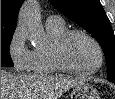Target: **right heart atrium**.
Instances as JSON below:
<instances>
[{
	"mask_svg": "<svg viewBox=\"0 0 115 99\" xmlns=\"http://www.w3.org/2000/svg\"><path fill=\"white\" fill-rule=\"evenodd\" d=\"M8 54L16 70H29L32 51L27 47L23 28L17 27L13 32L8 44Z\"/></svg>",
	"mask_w": 115,
	"mask_h": 99,
	"instance_id": "1",
	"label": "right heart atrium"
}]
</instances>
